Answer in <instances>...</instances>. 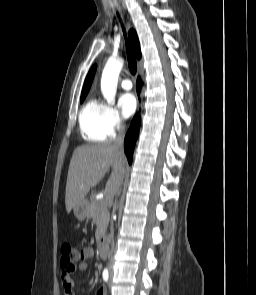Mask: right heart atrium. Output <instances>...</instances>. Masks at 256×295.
Wrapping results in <instances>:
<instances>
[{
	"mask_svg": "<svg viewBox=\"0 0 256 295\" xmlns=\"http://www.w3.org/2000/svg\"><path fill=\"white\" fill-rule=\"evenodd\" d=\"M105 122L110 136H114L124 126L123 119L119 111L112 106H106Z\"/></svg>",
	"mask_w": 256,
	"mask_h": 295,
	"instance_id": "obj_1",
	"label": "right heart atrium"
}]
</instances>
